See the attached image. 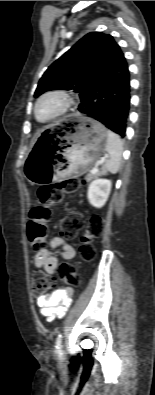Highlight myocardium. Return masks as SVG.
<instances>
[{
  "label": "myocardium",
  "instance_id": "f54148a6",
  "mask_svg": "<svg viewBox=\"0 0 155 395\" xmlns=\"http://www.w3.org/2000/svg\"><path fill=\"white\" fill-rule=\"evenodd\" d=\"M43 105H51L52 109L46 116L40 115ZM73 105V98L65 90H50L37 98L33 107L34 119L40 124H48L63 117Z\"/></svg>",
  "mask_w": 155,
  "mask_h": 395
}]
</instances>
